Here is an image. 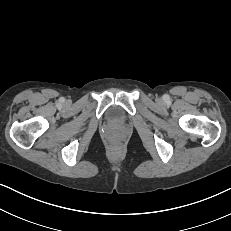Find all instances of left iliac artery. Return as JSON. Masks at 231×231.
I'll return each instance as SVG.
<instances>
[{
    "label": "left iliac artery",
    "instance_id": "obj_1",
    "mask_svg": "<svg viewBox=\"0 0 231 231\" xmlns=\"http://www.w3.org/2000/svg\"><path fill=\"white\" fill-rule=\"evenodd\" d=\"M164 99L168 102L170 100V97L168 95H164Z\"/></svg>",
    "mask_w": 231,
    "mask_h": 231
}]
</instances>
